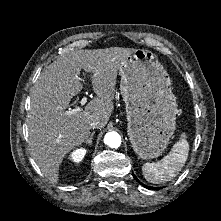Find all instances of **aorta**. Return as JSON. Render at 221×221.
I'll return each instance as SVG.
<instances>
[{
	"label": "aorta",
	"mask_w": 221,
	"mask_h": 221,
	"mask_svg": "<svg viewBox=\"0 0 221 221\" xmlns=\"http://www.w3.org/2000/svg\"><path fill=\"white\" fill-rule=\"evenodd\" d=\"M104 143L112 148H118L121 145V137L117 132H108L104 137Z\"/></svg>",
	"instance_id": "762f6f07"
}]
</instances>
